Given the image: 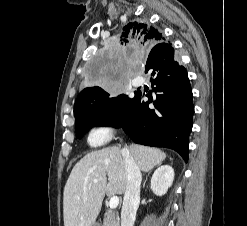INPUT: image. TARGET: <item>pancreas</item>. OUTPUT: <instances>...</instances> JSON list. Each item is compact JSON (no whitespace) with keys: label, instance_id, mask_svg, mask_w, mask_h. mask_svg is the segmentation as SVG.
I'll list each match as a JSON object with an SVG mask.
<instances>
[{"label":"pancreas","instance_id":"1","mask_svg":"<svg viewBox=\"0 0 247 226\" xmlns=\"http://www.w3.org/2000/svg\"><path fill=\"white\" fill-rule=\"evenodd\" d=\"M103 226H119L118 214L113 211H107L104 215Z\"/></svg>","mask_w":247,"mask_h":226}]
</instances>
